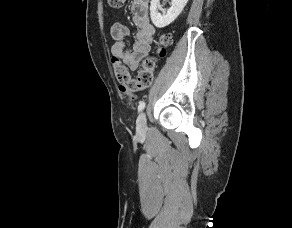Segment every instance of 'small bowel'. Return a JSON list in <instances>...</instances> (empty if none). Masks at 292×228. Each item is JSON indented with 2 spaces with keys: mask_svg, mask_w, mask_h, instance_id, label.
Returning a JSON list of instances; mask_svg holds the SVG:
<instances>
[{
  "mask_svg": "<svg viewBox=\"0 0 292 228\" xmlns=\"http://www.w3.org/2000/svg\"><path fill=\"white\" fill-rule=\"evenodd\" d=\"M131 19L136 27L132 49L128 50L125 38L130 35V28L122 22H115L111 27V36L115 40L111 48L113 66L122 65L128 71L138 68L140 60L151 50L155 27L149 18V0H132Z\"/></svg>",
  "mask_w": 292,
  "mask_h": 228,
  "instance_id": "obj_1",
  "label": "small bowel"
}]
</instances>
